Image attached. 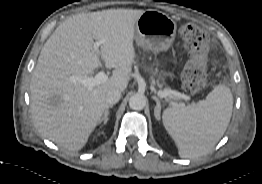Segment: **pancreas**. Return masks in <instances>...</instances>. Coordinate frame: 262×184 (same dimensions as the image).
<instances>
[{"label": "pancreas", "mask_w": 262, "mask_h": 184, "mask_svg": "<svg viewBox=\"0 0 262 184\" xmlns=\"http://www.w3.org/2000/svg\"><path fill=\"white\" fill-rule=\"evenodd\" d=\"M163 91H172V90L169 89V88H166V89H164ZM167 98H168L169 101L179 100V98H177V97H176L175 95H173V94L169 95Z\"/></svg>", "instance_id": "obj_1"}]
</instances>
